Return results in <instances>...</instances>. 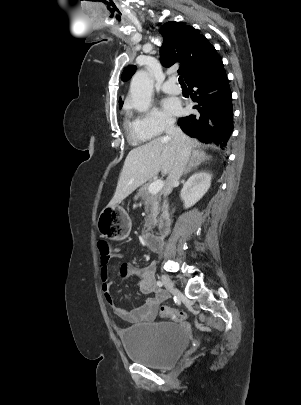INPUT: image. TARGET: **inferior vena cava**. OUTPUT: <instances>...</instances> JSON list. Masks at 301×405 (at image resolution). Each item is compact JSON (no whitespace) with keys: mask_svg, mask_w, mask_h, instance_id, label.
<instances>
[{"mask_svg":"<svg viewBox=\"0 0 301 405\" xmlns=\"http://www.w3.org/2000/svg\"><path fill=\"white\" fill-rule=\"evenodd\" d=\"M165 132L167 136L173 138L176 143V158L169 171L163 191V195L167 196L171 193L174 185L179 181L185 171L191 149L182 130L175 126L174 119L170 118L166 120Z\"/></svg>","mask_w":301,"mask_h":405,"instance_id":"inferior-vena-cava-1","label":"inferior vena cava"}]
</instances>
